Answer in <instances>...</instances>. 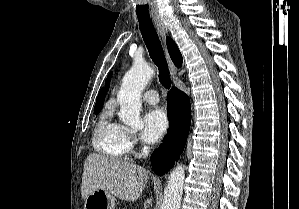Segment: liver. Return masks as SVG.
Segmentation results:
<instances>
[{
    "mask_svg": "<svg viewBox=\"0 0 299 209\" xmlns=\"http://www.w3.org/2000/svg\"><path fill=\"white\" fill-rule=\"evenodd\" d=\"M147 181L148 172L139 165L90 154L84 164L82 198L85 201L93 191L102 189L119 199L135 201Z\"/></svg>",
    "mask_w": 299,
    "mask_h": 209,
    "instance_id": "6515ba94",
    "label": "liver"
}]
</instances>
